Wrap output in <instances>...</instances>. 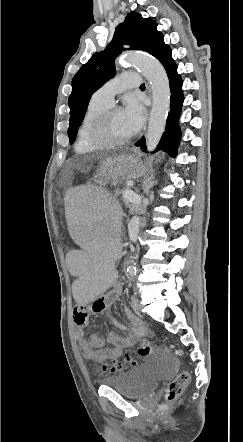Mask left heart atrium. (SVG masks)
<instances>
[{"label":"left heart atrium","mask_w":243,"mask_h":442,"mask_svg":"<svg viewBox=\"0 0 243 442\" xmlns=\"http://www.w3.org/2000/svg\"><path fill=\"white\" fill-rule=\"evenodd\" d=\"M122 112L130 130L133 134L136 133L144 122L145 111L143 106L138 101L131 99L127 102Z\"/></svg>","instance_id":"1"}]
</instances>
